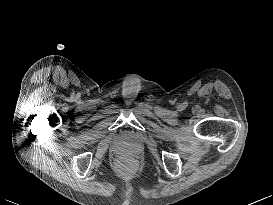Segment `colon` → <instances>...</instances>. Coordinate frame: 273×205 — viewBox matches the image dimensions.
<instances>
[{
    "mask_svg": "<svg viewBox=\"0 0 273 205\" xmlns=\"http://www.w3.org/2000/svg\"><path fill=\"white\" fill-rule=\"evenodd\" d=\"M118 165L122 171H127L129 169L128 168V161L126 159L120 160Z\"/></svg>",
    "mask_w": 273,
    "mask_h": 205,
    "instance_id": "1",
    "label": "colon"
}]
</instances>
